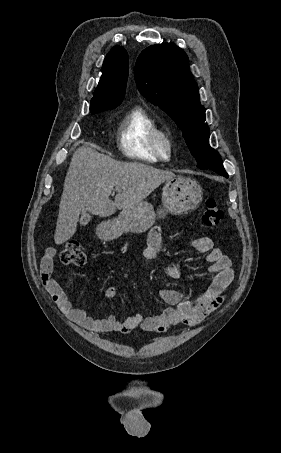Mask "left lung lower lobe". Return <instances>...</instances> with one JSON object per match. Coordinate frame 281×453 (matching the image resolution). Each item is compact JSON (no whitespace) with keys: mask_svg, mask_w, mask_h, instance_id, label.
<instances>
[{"mask_svg":"<svg viewBox=\"0 0 281 453\" xmlns=\"http://www.w3.org/2000/svg\"><path fill=\"white\" fill-rule=\"evenodd\" d=\"M219 175H222L226 178H228V174L226 173V171H220V172H217Z\"/></svg>","mask_w":281,"mask_h":453,"instance_id":"obj_1","label":"left lung lower lobe"}]
</instances>
